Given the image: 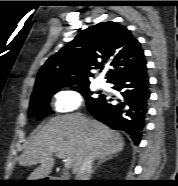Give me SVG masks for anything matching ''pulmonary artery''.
Wrapping results in <instances>:
<instances>
[{"label":"pulmonary artery","instance_id":"pulmonary-artery-1","mask_svg":"<svg viewBox=\"0 0 178 186\" xmlns=\"http://www.w3.org/2000/svg\"><path fill=\"white\" fill-rule=\"evenodd\" d=\"M98 85L100 88H104V89L108 87V84L105 81H100Z\"/></svg>","mask_w":178,"mask_h":186}]
</instances>
